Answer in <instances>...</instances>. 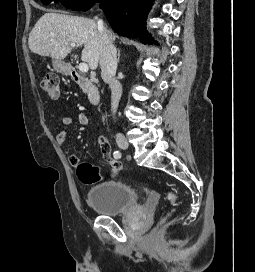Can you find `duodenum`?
<instances>
[{
	"mask_svg": "<svg viewBox=\"0 0 255 272\" xmlns=\"http://www.w3.org/2000/svg\"><path fill=\"white\" fill-rule=\"evenodd\" d=\"M69 74L75 83L81 85L86 89V96L90 104L93 106L100 105L102 101V96L100 92L94 87L92 82L88 78L82 76L73 68H69Z\"/></svg>",
	"mask_w": 255,
	"mask_h": 272,
	"instance_id": "1",
	"label": "duodenum"
}]
</instances>
